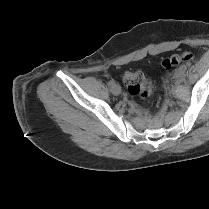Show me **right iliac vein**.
Masks as SVG:
<instances>
[{
  "label": "right iliac vein",
  "mask_w": 209,
  "mask_h": 209,
  "mask_svg": "<svg viewBox=\"0 0 209 209\" xmlns=\"http://www.w3.org/2000/svg\"><path fill=\"white\" fill-rule=\"evenodd\" d=\"M111 92L114 95H119L121 93V87L118 84H114L111 88Z\"/></svg>",
  "instance_id": "63e3f726"
}]
</instances>
